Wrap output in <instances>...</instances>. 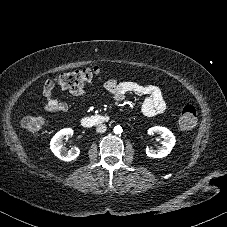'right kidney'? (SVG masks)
I'll list each match as a JSON object with an SVG mask.
<instances>
[{"mask_svg": "<svg viewBox=\"0 0 227 227\" xmlns=\"http://www.w3.org/2000/svg\"><path fill=\"white\" fill-rule=\"evenodd\" d=\"M73 135V130L71 128H65L57 132L50 142V149L54 155L63 161H72L79 156L80 150L77 147H73L67 150L63 146V139L69 138Z\"/></svg>", "mask_w": 227, "mask_h": 227, "instance_id": "right-kidney-1", "label": "right kidney"}]
</instances>
